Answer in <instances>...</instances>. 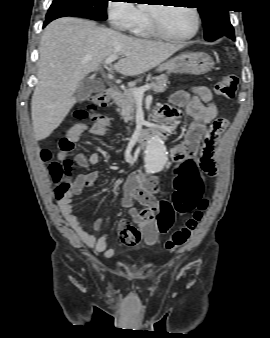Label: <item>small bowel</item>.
Returning a JSON list of instances; mask_svg holds the SVG:
<instances>
[{"label":"small bowel","instance_id":"small-bowel-1","mask_svg":"<svg viewBox=\"0 0 270 338\" xmlns=\"http://www.w3.org/2000/svg\"><path fill=\"white\" fill-rule=\"evenodd\" d=\"M177 108H185L193 118L185 140L171 149V156L177 162L174 169V178L176 182L184 183L190 175L197 174L201 170L202 160L198 157V150L208 146L211 148V158L213 159V150L223 129L214 128L212 125L208 132L205 131L206 126L211 123L214 124L217 117V107L213 101L212 91L206 86H195L189 91L178 90L174 92L170 97V104L163 105L158 113L169 124L180 117ZM109 126V120L101 117L91 126L85 123H77L67 131L66 137L73 142L74 147L67 151L61 150L58 158L63 160L71 157L78 167L88 171L79 174L67 190L59 189L55 193L59 208L68 224L88 247L98 254H103L106 258L113 257L115 253L113 249L107 248L109 234L104 232L100 236H96L95 233L87 230L85 224L75 214L72 201L74 197L82 193L84 188L92 186L99 178L98 171L89 169V167L97 164L100 160L99 152L92 153L87 159L83 153L78 151L75 144L84 132H88L95 137H103ZM171 133L172 127L168 126L167 134ZM159 187L158 180L145 179L140 170L132 172L127 177L121 202L124 207L129 209L130 216L137 225L140 235L135 228L128 227L126 222H120L118 233L124 244L136 246L142 237L147 244L154 245L158 240L159 233H167L171 229L174 217L166 226L161 221L157 222L145 218V215L150 216L160 208V204L155 203L149 195V193L156 194ZM134 201L145 207V215L133 208ZM100 227L101 221L96 220L94 229L99 230Z\"/></svg>","mask_w":270,"mask_h":338}]
</instances>
